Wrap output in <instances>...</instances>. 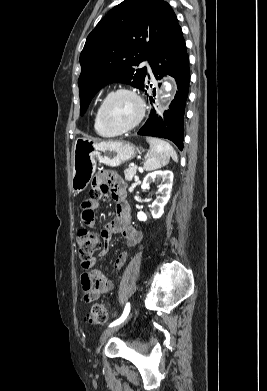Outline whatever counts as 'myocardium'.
I'll return each instance as SVG.
<instances>
[{
  "label": "myocardium",
  "instance_id": "myocardium-1",
  "mask_svg": "<svg viewBox=\"0 0 267 391\" xmlns=\"http://www.w3.org/2000/svg\"><path fill=\"white\" fill-rule=\"evenodd\" d=\"M122 93H125V94H129L131 95L138 103V106H139V111H138V115L136 117V119L128 126H124V127H118V126H115L113 125L108 119H107V116H106V112H105V109H106V105L108 103V101L115 95H118V94H122ZM145 112H146V105H145V102L144 100L142 99V97L138 94L137 91H135L134 89L132 88H128V87H119V88H116L112 91H110L102 100L101 104H100V107H99V116H100V120L101 122L103 123V125L113 131V132H116L118 134L120 133H125V132H128V131H131L133 130L135 127H137L140 122L142 121V119L144 118V115H145Z\"/></svg>",
  "mask_w": 267,
  "mask_h": 391
}]
</instances>
